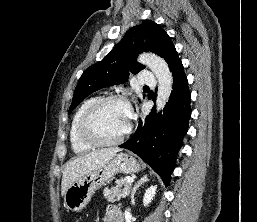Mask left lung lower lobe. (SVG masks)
<instances>
[{
	"label": "left lung lower lobe",
	"mask_w": 257,
	"mask_h": 222,
	"mask_svg": "<svg viewBox=\"0 0 257 222\" xmlns=\"http://www.w3.org/2000/svg\"><path fill=\"white\" fill-rule=\"evenodd\" d=\"M169 68L173 74V90L163 112L156 114L153 109L152 115L139 122L132 138L119 145L149 164L166 186L170 183L176 155L188 131L191 117V94L180 59Z\"/></svg>",
	"instance_id": "1"
}]
</instances>
